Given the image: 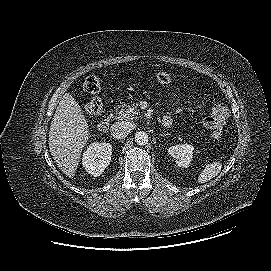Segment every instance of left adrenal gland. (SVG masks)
<instances>
[{
  "label": "left adrenal gland",
  "instance_id": "a2214340",
  "mask_svg": "<svg viewBox=\"0 0 271 271\" xmlns=\"http://www.w3.org/2000/svg\"><path fill=\"white\" fill-rule=\"evenodd\" d=\"M160 136H162V137H166V136H169V134L168 133H163V134H160Z\"/></svg>",
  "mask_w": 271,
  "mask_h": 271
}]
</instances>
